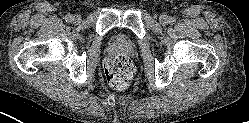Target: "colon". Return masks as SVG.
Returning <instances> with one entry per match:
<instances>
[{"mask_svg":"<svg viewBox=\"0 0 249 123\" xmlns=\"http://www.w3.org/2000/svg\"><path fill=\"white\" fill-rule=\"evenodd\" d=\"M105 78L108 85L116 90H125L132 84L134 66L124 54H112L104 62Z\"/></svg>","mask_w":249,"mask_h":123,"instance_id":"5ec220e1","label":"colon"}]
</instances>
